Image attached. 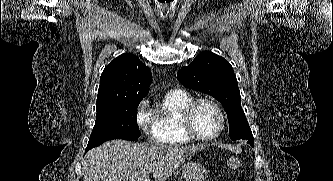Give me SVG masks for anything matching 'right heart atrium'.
Wrapping results in <instances>:
<instances>
[{"label":"right heart atrium","instance_id":"1","mask_svg":"<svg viewBox=\"0 0 333 181\" xmlns=\"http://www.w3.org/2000/svg\"><path fill=\"white\" fill-rule=\"evenodd\" d=\"M136 122L145 135L154 138L156 122L149 109L148 101L143 100L138 104L136 109Z\"/></svg>","mask_w":333,"mask_h":181}]
</instances>
